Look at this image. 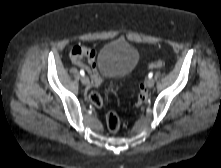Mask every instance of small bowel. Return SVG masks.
I'll return each mask as SVG.
<instances>
[{
	"label": "small bowel",
	"mask_w": 221,
	"mask_h": 168,
	"mask_svg": "<svg viewBox=\"0 0 221 168\" xmlns=\"http://www.w3.org/2000/svg\"><path fill=\"white\" fill-rule=\"evenodd\" d=\"M70 59L73 64L84 67L88 70L93 85H100L103 81L98 71L96 52L85 46H75L71 53Z\"/></svg>",
	"instance_id": "small-bowel-1"
}]
</instances>
